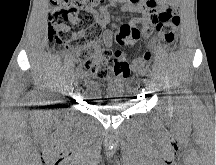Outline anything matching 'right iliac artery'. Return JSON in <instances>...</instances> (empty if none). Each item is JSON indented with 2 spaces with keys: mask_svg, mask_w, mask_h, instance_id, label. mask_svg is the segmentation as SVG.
Returning a JSON list of instances; mask_svg holds the SVG:
<instances>
[{
  "mask_svg": "<svg viewBox=\"0 0 216 165\" xmlns=\"http://www.w3.org/2000/svg\"><path fill=\"white\" fill-rule=\"evenodd\" d=\"M82 69L79 67L76 71V75H79V72L81 71Z\"/></svg>",
  "mask_w": 216,
  "mask_h": 165,
  "instance_id": "1",
  "label": "right iliac artery"
}]
</instances>
